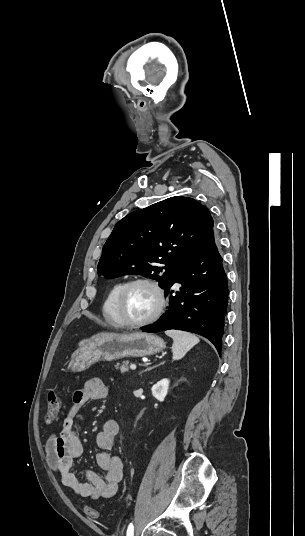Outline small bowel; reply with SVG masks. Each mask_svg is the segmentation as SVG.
Here are the masks:
<instances>
[{"label": "small bowel", "instance_id": "1", "mask_svg": "<svg viewBox=\"0 0 305 536\" xmlns=\"http://www.w3.org/2000/svg\"><path fill=\"white\" fill-rule=\"evenodd\" d=\"M109 393V386L101 379L88 380L82 388L74 392L72 405L64 416L61 431L51 434L45 444L47 463L60 477L62 484L79 496L91 500L109 499L115 496L123 478V462L120 457L113 454L115 438L119 431L118 423L114 419L106 420L96 436V444L100 449L96 462L105 472V477L87 471L84 473L85 481H80L70 472L74 459L83 454V446L78 435V421L82 411L89 401L105 399Z\"/></svg>", "mask_w": 305, "mask_h": 536}]
</instances>
